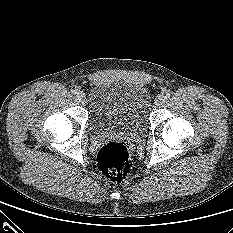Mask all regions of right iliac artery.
Here are the masks:
<instances>
[{
  "label": "right iliac artery",
  "instance_id": "right-iliac-artery-1",
  "mask_svg": "<svg viewBox=\"0 0 233 233\" xmlns=\"http://www.w3.org/2000/svg\"><path fill=\"white\" fill-rule=\"evenodd\" d=\"M71 93L75 95V94H77V90L76 89H72Z\"/></svg>",
  "mask_w": 233,
  "mask_h": 233
}]
</instances>
